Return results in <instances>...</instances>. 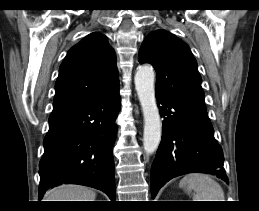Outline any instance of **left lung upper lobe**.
<instances>
[{"instance_id":"left-lung-upper-lobe-1","label":"left lung upper lobe","mask_w":259,"mask_h":211,"mask_svg":"<svg viewBox=\"0 0 259 211\" xmlns=\"http://www.w3.org/2000/svg\"><path fill=\"white\" fill-rule=\"evenodd\" d=\"M139 62L153 65L157 92L204 103L197 62L188 45L170 32L156 30L148 34L140 50Z\"/></svg>"}]
</instances>
